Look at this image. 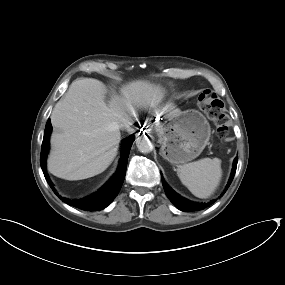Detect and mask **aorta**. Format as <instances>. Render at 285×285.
Masks as SVG:
<instances>
[{
	"mask_svg": "<svg viewBox=\"0 0 285 285\" xmlns=\"http://www.w3.org/2000/svg\"><path fill=\"white\" fill-rule=\"evenodd\" d=\"M136 146L142 153H149L153 150L154 145L150 138L147 136H140L136 139Z\"/></svg>",
	"mask_w": 285,
	"mask_h": 285,
	"instance_id": "762f6f07",
	"label": "aorta"
}]
</instances>
